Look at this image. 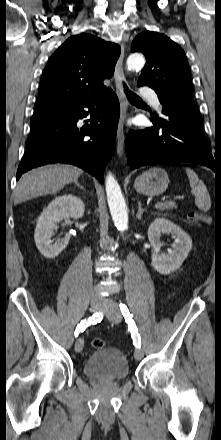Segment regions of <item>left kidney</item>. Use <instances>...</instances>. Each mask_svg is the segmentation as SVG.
Masks as SVG:
<instances>
[{
    "label": "left kidney",
    "instance_id": "5707ae66",
    "mask_svg": "<svg viewBox=\"0 0 221 440\" xmlns=\"http://www.w3.org/2000/svg\"><path fill=\"white\" fill-rule=\"evenodd\" d=\"M161 234H171L174 243L168 254L160 253ZM148 239L153 249L152 267L161 274H170L179 269L192 248V239L179 226L168 219L157 218L148 228Z\"/></svg>",
    "mask_w": 221,
    "mask_h": 440
}]
</instances>
